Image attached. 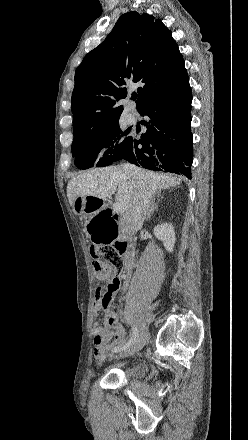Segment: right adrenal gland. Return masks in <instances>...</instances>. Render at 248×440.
Returning a JSON list of instances; mask_svg holds the SVG:
<instances>
[{"instance_id": "1", "label": "right adrenal gland", "mask_w": 248, "mask_h": 440, "mask_svg": "<svg viewBox=\"0 0 248 440\" xmlns=\"http://www.w3.org/2000/svg\"><path fill=\"white\" fill-rule=\"evenodd\" d=\"M155 196H156V195H153L152 198H151L150 209H149V211H148V213H147L146 220H149L150 217H151V214H153L154 211L157 210V208H158V202L160 201V199L158 200V202L155 203ZM158 196H159V195H158ZM161 198H162V197H161Z\"/></svg>"}]
</instances>
